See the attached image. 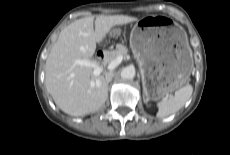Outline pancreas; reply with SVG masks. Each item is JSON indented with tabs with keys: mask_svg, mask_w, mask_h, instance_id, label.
<instances>
[{
	"mask_svg": "<svg viewBox=\"0 0 230 155\" xmlns=\"http://www.w3.org/2000/svg\"><path fill=\"white\" fill-rule=\"evenodd\" d=\"M128 52V49L122 45V44H117L115 50L107 51L105 54V61L106 62H111L113 59H115L117 56H126Z\"/></svg>",
	"mask_w": 230,
	"mask_h": 155,
	"instance_id": "obj_1",
	"label": "pancreas"
}]
</instances>
